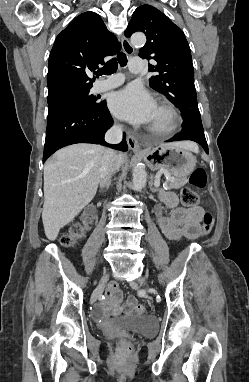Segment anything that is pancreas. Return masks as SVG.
I'll list each match as a JSON object with an SVG mask.
<instances>
[{"instance_id":"cf45deb5","label":"pancreas","mask_w":249,"mask_h":382,"mask_svg":"<svg viewBox=\"0 0 249 382\" xmlns=\"http://www.w3.org/2000/svg\"><path fill=\"white\" fill-rule=\"evenodd\" d=\"M187 183V177H176L173 181H169L166 185L171 189H179Z\"/></svg>"}]
</instances>
